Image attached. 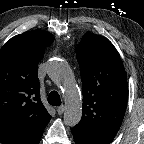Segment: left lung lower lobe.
Instances as JSON below:
<instances>
[{
	"mask_svg": "<svg viewBox=\"0 0 144 144\" xmlns=\"http://www.w3.org/2000/svg\"><path fill=\"white\" fill-rule=\"evenodd\" d=\"M75 144H105V143H98L91 140L84 138L82 135L72 131Z\"/></svg>",
	"mask_w": 144,
	"mask_h": 144,
	"instance_id": "0a47b994",
	"label": "left lung lower lobe"
}]
</instances>
